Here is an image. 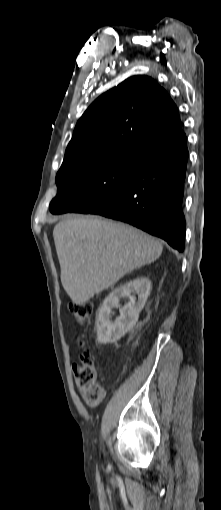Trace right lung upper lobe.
Masks as SVG:
<instances>
[{
  "label": "right lung upper lobe",
  "mask_w": 221,
  "mask_h": 510,
  "mask_svg": "<svg viewBox=\"0 0 221 510\" xmlns=\"http://www.w3.org/2000/svg\"><path fill=\"white\" fill-rule=\"evenodd\" d=\"M170 96L147 76L128 78L98 97L77 122L64 161L110 149L153 147L182 136Z\"/></svg>",
  "instance_id": "cb5924a9"
}]
</instances>
